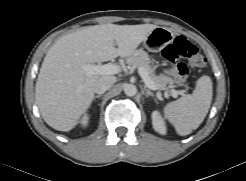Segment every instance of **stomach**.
<instances>
[{
    "instance_id": "1",
    "label": "stomach",
    "mask_w": 246,
    "mask_h": 181,
    "mask_svg": "<svg viewBox=\"0 0 246 181\" xmlns=\"http://www.w3.org/2000/svg\"><path fill=\"white\" fill-rule=\"evenodd\" d=\"M174 35L172 31L165 27L155 28L144 40L145 47L151 51H159L172 42Z\"/></svg>"
}]
</instances>
